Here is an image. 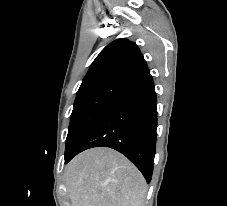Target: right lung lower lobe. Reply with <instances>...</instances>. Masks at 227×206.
I'll return each mask as SVG.
<instances>
[{
	"instance_id": "right-lung-lower-lobe-1",
	"label": "right lung lower lobe",
	"mask_w": 227,
	"mask_h": 206,
	"mask_svg": "<svg viewBox=\"0 0 227 206\" xmlns=\"http://www.w3.org/2000/svg\"><path fill=\"white\" fill-rule=\"evenodd\" d=\"M157 128V100L152 76L129 82L127 90L110 103L88 127L72 152L110 147L124 154L151 181Z\"/></svg>"
}]
</instances>
